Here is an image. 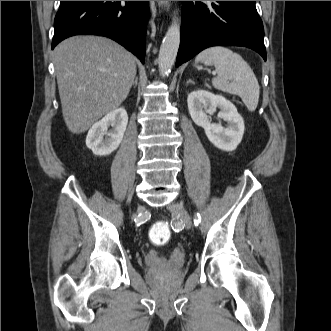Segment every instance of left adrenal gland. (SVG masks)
Segmentation results:
<instances>
[{
	"instance_id": "left-adrenal-gland-1",
	"label": "left adrenal gland",
	"mask_w": 331,
	"mask_h": 331,
	"mask_svg": "<svg viewBox=\"0 0 331 331\" xmlns=\"http://www.w3.org/2000/svg\"><path fill=\"white\" fill-rule=\"evenodd\" d=\"M189 83L194 84V82H193L191 79H189V80L187 81V84H189Z\"/></svg>"
}]
</instances>
